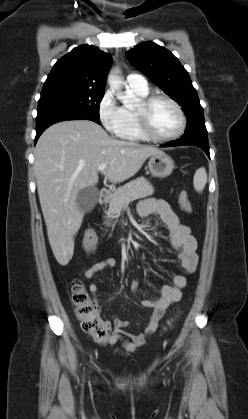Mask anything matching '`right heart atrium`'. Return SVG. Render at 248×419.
<instances>
[{
  "label": "right heart atrium",
  "instance_id": "right-heart-atrium-1",
  "mask_svg": "<svg viewBox=\"0 0 248 419\" xmlns=\"http://www.w3.org/2000/svg\"><path fill=\"white\" fill-rule=\"evenodd\" d=\"M98 116L104 128L113 135L121 136L125 124L124 107L119 105L113 92L107 90L100 99Z\"/></svg>",
  "mask_w": 248,
  "mask_h": 419
}]
</instances>
